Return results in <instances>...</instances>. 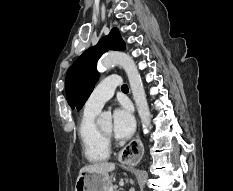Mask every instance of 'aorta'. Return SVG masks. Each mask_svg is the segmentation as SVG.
<instances>
[{
    "mask_svg": "<svg viewBox=\"0 0 233 191\" xmlns=\"http://www.w3.org/2000/svg\"><path fill=\"white\" fill-rule=\"evenodd\" d=\"M114 65H119L124 68L130 88L132 91L133 99L135 101L139 117L141 119L142 128L145 134L149 133V127L151 123V114L146 99V94L143 86V82L137 66L131 56L124 52H108L100 60L98 68L100 70H106ZM110 119V115L102 113L100 120Z\"/></svg>",
    "mask_w": 233,
    "mask_h": 191,
    "instance_id": "1",
    "label": "aorta"
}]
</instances>
